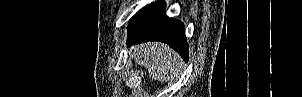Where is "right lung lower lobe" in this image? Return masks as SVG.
Instances as JSON below:
<instances>
[{
	"label": "right lung lower lobe",
	"mask_w": 302,
	"mask_h": 97,
	"mask_svg": "<svg viewBox=\"0 0 302 97\" xmlns=\"http://www.w3.org/2000/svg\"><path fill=\"white\" fill-rule=\"evenodd\" d=\"M146 41L164 42L188 60L185 27L179 20L165 15L164 2L158 1L144 7L129 21L128 45Z\"/></svg>",
	"instance_id": "98d812e1"
}]
</instances>
